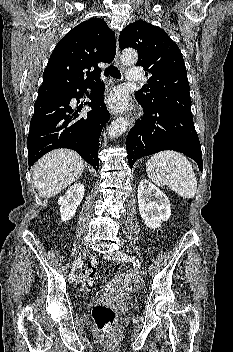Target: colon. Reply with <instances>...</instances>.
Instances as JSON below:
<instances>
[{
	"instance_id": "1",
	"label": "colon",
	"mask_w": 233,
	"mask_h": 352,
	"mask_svg": "<svg viewBox=\"0 0 233 352\" xmlns=\"http://www.w3.org/2000/svg\"><path fill=\"white\" fill-rule=\"evenodd\" d=\"M96 278L97 273L95 267L89 266L85 269L83 275V286L85 291L92 290ZM92 318L100 330H108L112 328L115 323V312L112 308L106 305L97 304L92 309Z\"/></svg>"
}]
</instances>
